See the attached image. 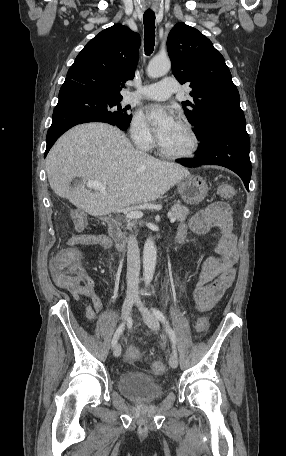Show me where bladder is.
I'll return each mask as SVG.
<instances>
[{"mask_svg":"<svg viewBox=\"0 0 286 456\" xmlns=\"http://www.w3.org/2000/svg\"><path fill=\"white\" fill-rule=\"evenodd\" d=\"M118 385L121 395L137 403L156 401L164 392L162 385L155 378L140 372L121 374Z\"/></svg>","mask_w":286,"mask_h":456,"instance_id":"1","label":"bladder"}]
</instances>
